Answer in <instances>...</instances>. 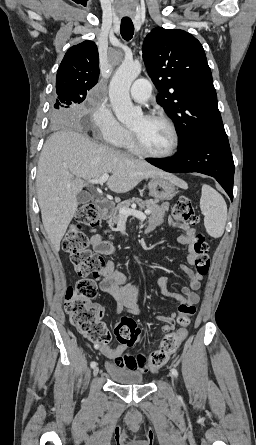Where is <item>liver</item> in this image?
I'll return each instance as SVG.
<instances>
[{"mask_svg": "<svg viewBox=\"0 0 256 445\" xmlns=\"http://www.w3.org/2000/svg\"><path fill=\"white\" fill-rule=\"evenodd\" d=\"M111 173L107 181L110 190L126 193L143 179L171 176L145 161L99 145L71 129L53 133L40 154L36 185L42 222L55 252L71 222L77 207V195L85 180ZM176 184L185 183L171 176Z\"/></svg>", "mask_w": 256, "mask_h": 445, "instance_id": "6515ba94", "label": "liver"}]
</instances>
